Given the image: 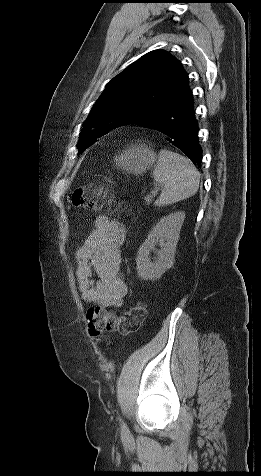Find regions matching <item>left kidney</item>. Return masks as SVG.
<instances>
[{"label":"left kidney","instance_id":"1","mask_svg":"<svg viewBox=\"0 0 261 476\" xmlns=\"http://www.w3.org/2000/svg\"><path fill=\"white\" fill-rule=\"evenodd\" d=\"M184 218L183 211L174 212L161 218L152 228L137 253L136 264L139 277L154 281L171 268ZM156 245H159L161 249H155ZM151 251L157 255L153 261L150 258Z\"/></svg>","mask_w":261,"mask_h":476}]
</instances>
